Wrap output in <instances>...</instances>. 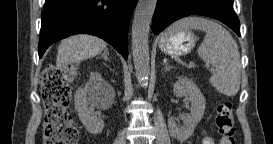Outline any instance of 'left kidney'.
I'll use <instances>...</instances> for the list:
<instances>
[{
	"label": "left kidney",
	"instance_id": "5707ae66",
	"mask_svg": "<svg viewBox=\"0 0 273 144\" xmlns=\"http://www.w3.org/2000/svg\"><path fill=\"white\" fill-rule=\"evenodd\" d=\"M173 93L176 97H189L191 101V113L187 116L183 126L176 124L175 118L168 122L172 136L180 142L186 141L191 137L194 129L201 121L205 111V98L200 89L187 77H180L173 86Z\"/></svg>",
	"mask_w": 273,
	"mask_h": 144
}]
</instances>
